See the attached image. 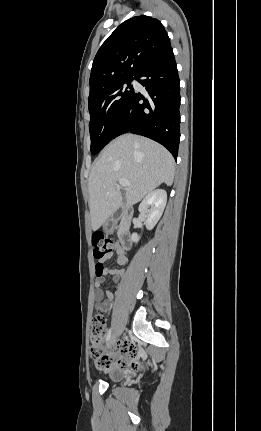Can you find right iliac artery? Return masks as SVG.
Returning <instances> with one entry per match:
<instances>
[{
    "label": "right iliac artery",
    "instance_id": "obj_1",
    "mask_svg": "<svg viewBox=\"0 0 261 431\" xmlns=\"http://www.w3.org/2000/svg\"><path fill=\"white\" fill-rule=\"evenodd\" d=\"M111 328L108 330L107 335H106V341H109L110 337H111Z\"/></svg>",
    "mask_w": 261,
    "mask_h": 431
}]
</instances>
